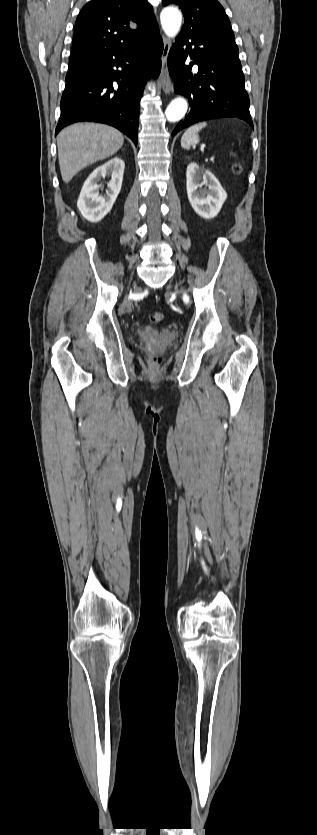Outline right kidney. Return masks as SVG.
<instances>
[{
	"mask_svg": "<svg viewBox=\"0 0 317 835\" xmlns=\"http://www.w3.org/2000/svg\"><path fill=\"white\" fill-rule=\"evenodd\" d=\"M125 163L115 157L98 166L84 182L77 207L85 219L90 222L101 221L112 209L121 190ZM105 176L111 177L106 195L99 194V181Z\"/></svg>",
	"mask_w": 317,
	"mask_h": 835,
	"instance_id": "right-kidney-1",
	"label": "right kidney"
}]
</instances>
